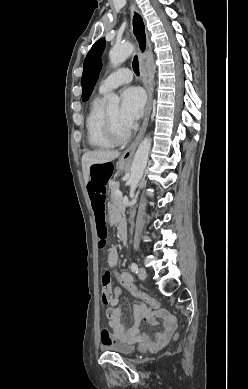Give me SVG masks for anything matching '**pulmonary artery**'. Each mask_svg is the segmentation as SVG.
Returning <instances> with one entry per match:
<instances>
[{
    "mask_svg": "<svg viewBox=\"0 0 248 389\" xmlns=\"http://www.w3.org/2000/svg\"><path fill=\"white\" fill-rule=\"evenodd\" d=\"M132 72L128 68H120L104 78L99 86L100 94H106L124 83L132 80Z\"/></svg>",
    "mask_w": 248,
    "mask_h": 389,
    "instance_id": "obj_1",
    "label": "pulmonary artery"
}]
</instances>
